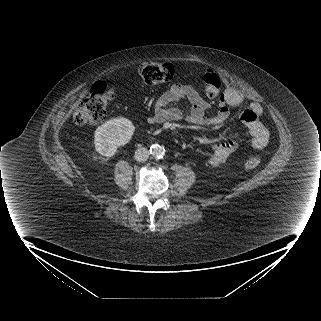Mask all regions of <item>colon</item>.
<instances>
[{
  "label": "colon",
  "instance_id": "1",
  "mask_svg": "<svg viewBox=\"0 0 321 321\" xmlns=\"http://www.w3.org/2000/svg\"><path fill=\"white\" fill-rule=\"evenodd\" d=\"M174 67L171 63H147L140 67L139 75L149 86L167 82L174 76ZM205 93L208 97H217L221 92V80L212 69H207L203 74ZM114 96L113 86L105 81L96 82L90 92L81 100L74 113L77 125L98 123L103 120L107 107ZM260 165L258 157H249L244 162L247 170L256 169Z\"/></svg>",
  "mask_w": 321,
  "mask_h": 321
}]
</instances>
